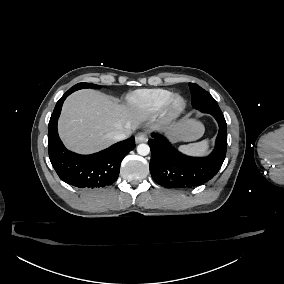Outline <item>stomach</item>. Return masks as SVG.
Wrapping results in <instances>:
<instances>
[{
  "label": "stomach",
  "instance_id": "stomach-1",
  "mask_svg": "<svg viewBox=\"0 0 284 284\" xmlns=\"http://www.w3.org/2000/svg\"><path fill=\"white\" fill-rule=\"evenodd\" d=\"M170 139L172 142H177L180 140H184V134L182 130H175L171 133Z\"/></svg>",
  "mask_w": 284,
  "mask_h": 284
}]
</instances>
